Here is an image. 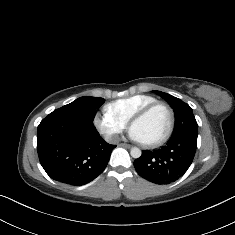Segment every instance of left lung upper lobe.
<instances>
[{
  "instance_id": "obj_1",
  "label": "left lung upper lobe",
  "mask_w": 235,
  "mask_h": 235,
  "mask_svg": "<svg viewBox=\"0 0 235 235\" xmlns=\"http://www.w3.org/2000/svg\"><path fill=\"white\" fill-rule=\"evenodd\" d=\"M165 99L173 108L175 113V126L172 137L180 135H189L197 137L198 135V124L192 112V108L182 100L161 92L153 91Z\"/></svg>"
}]
</instances>
